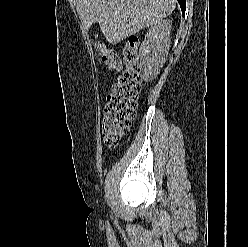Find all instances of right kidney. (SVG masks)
Returning a JSON list of instances; mask_svg holds the SVG:
<instances>
[{
    "label": "right kidney",
    "mask_w": 248,
    "mask_h": 247,
    "mask_svg": "<svg viewBox=\"0 0 248 247\" xmlns=\"http://www.w3.org/2000/svg\"><path fill=\"white\" fill-rule=\"evenodd\" d=\"M172 21L164 19L151 26L139 48L140 65L143 79L154 80L164 65L170 47Z\"/></svg>",
    "instance_id": "obj_1"
}]
</instances>
